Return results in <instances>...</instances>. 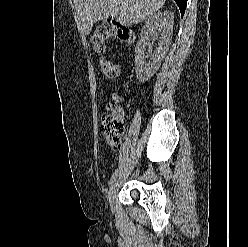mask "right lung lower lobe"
<instances>
[{"mask_svg":"<svg viewBox=\"0 0 248 247\" xmlns=\"http://www.w3.org/2000/svg\"><path fill=\"white\" fill-rule=\"evenodd\" d=\"M175 2L177 3L180 9L181 15L183 16L187 5V0H175Z\"/></svg>","mask_w":248,"mask_h":247,"instance_id":"right-lung-lower-lobe-1","label":"right lung lower lobe"}]
</instances>
